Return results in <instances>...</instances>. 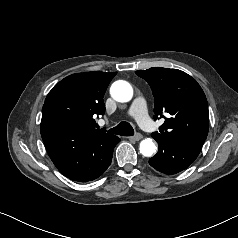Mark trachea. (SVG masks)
I'll use <instances>...</instances> for the list:
<instances>
[{
    "label": "trachea",
    "mask_w": 238,
    "mask_h": 238,
    "mask_svg": "<svg viewBox=\"0 0 238 238\" xmlns=\"http://www.w3.org/2000/svg\"><path fill=\"white\" fill-rule=\"evenodd\" d=\"M108 132L112 134L121 135V136L134 135V130L128 122H121L116 127L110 129Z\"/></svg>",
    "instance_id": "1"
}]
</instances>
